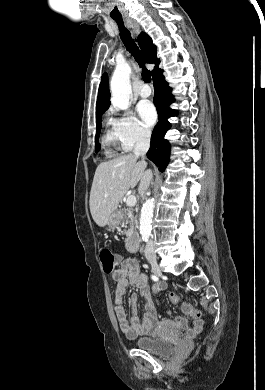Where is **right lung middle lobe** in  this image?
Here are the masks:
<instances>
[{"instance_id": "right-lung-middle-lobe-1", "label": "right lung middle lobe", "mask_w": 265, "mask_h": 390, "mask_svg": "<svg viewBox=\"0 0 265 390\" xmlns=\"http://www.w3.org/2000/svg\"><path fill=\"white\" fill-rule=\"evenodd\" d=\"M101 119L102 117L96 119L97 131L95 136V152H98L100 150V144L98 142V139H99L100 129H101Z\"/></svg>"}]
</instances>
